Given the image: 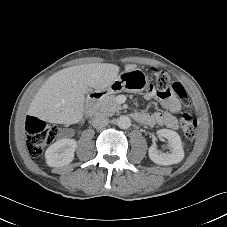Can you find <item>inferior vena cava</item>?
<instances>
[{
	"mask_svg": "<svg viewBox=\"0 0 227 227\" xmlns=\"http://www.w3.org/2000/svg\"><path fill=\"white\" fill-rule=\"evenodd\" d=\"M108 123H109V119L102 114H99L92 119V125L96 129H101L107 126Z\"/></svg>",
	"mask_w": 227,
	"mask_h": 227,
	"instance_id": "602c4592",
	"label": "inferior vena cava"
}]
</instances>
